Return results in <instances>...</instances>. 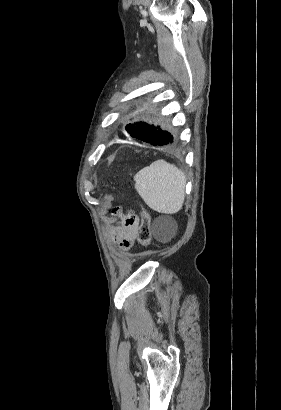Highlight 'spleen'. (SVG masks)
<instances>
[{
    "instance_id": "obj_1",
    "label": "spleen",
    "mask_w": 281,
    "mask_h": 410,
    "mask_svg": "<svg viewBox=\"0 0 281 410\" xmlns=\"http://www.w3.org/2000/svg\"><path fill=\"white\" fill-rule=\"evenodd\" d=\"M135 189L144 202L163 214L181 210L185 199L186 177L183 171L165 160L154 161L135 176Z\"/></svg>"
}]
</instances>
